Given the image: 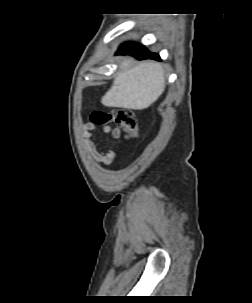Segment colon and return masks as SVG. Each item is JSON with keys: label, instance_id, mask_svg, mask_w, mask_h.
<instances>
[{"label": "colon", "instance_id": "5ec220e1", "mask_svg": "<svg viewBox=\"0 0 252 303\" xmlns=\"http://www.w3.org/2000/svg\"><path fill=\"white\" fill-rule=\"evenodd\" d=\"M91 122L96 125L115 124L128 137L135 136L139 131L137 117L133 111L128 109L117 111L97 110L92 113Z\"/></svg>", "mask_w": 252, "mask_h": 303}]
</instances>
